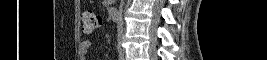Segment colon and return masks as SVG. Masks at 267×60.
Wrapping results in <instances>:
<instances>
[{"label": "colon", "mask_w": 267, "mask_h": 60, "mask_svg": "<svg viewBox=\"0 0 267 60\" xmlns=\"http://www.w3.org/2000/svg\"><path fill=\"white\" fill-rule=\"evenodd\" d=\"M101 25V17L87 11L82 15V29L86 33H91Z\"/></svg>", "instance_id": "obj_1"}]
</instances>
